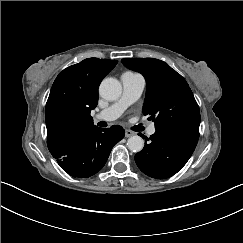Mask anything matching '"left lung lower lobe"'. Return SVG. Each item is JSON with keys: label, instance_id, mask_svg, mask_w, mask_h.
Segmentation results:
<instances>
[{"label": "left lung lower lobe", "instance_id": "obj_1", "mask_svg": "<svg viewBox=\"0 0 243 243\" xmlns=\"http://www.w3.org/2000/svg\"><path fill=\"white\" fill-rule=\"evenodd\" d=\"M198 138L199 132L189 129H156L150 136V143L145 137V146L135 155V162L144 174L152 178H169L189 160Z\"/></svg>", "mask_w": 243, "mask_h": 243}]
</instances>
